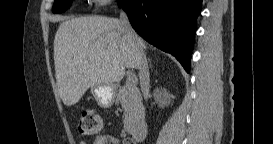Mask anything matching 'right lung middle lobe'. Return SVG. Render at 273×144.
<instances>
[{"mask_svg": "<svg viewBox=\"0 0 273 144\" xmlns=\"http://www.w3.org/2000/svg\"><path fill=\"white\" fill-rule=\"evenodd\" d=\"M72 0H56L53 5V13H61L67 10L71 5Z\"/></svg>", "mask_w": 273, "mask_h": 144, "instance_id": "1", "label": "right lung middle lobe"}]
</instances>
